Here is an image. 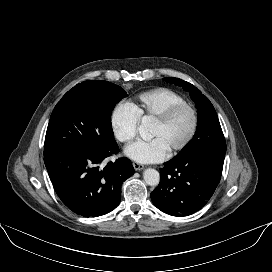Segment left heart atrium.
Here are the masks:
<instances>
[{
	"mask_svg": "<svg viewBox=\"0 0 272 272\" xmlns=\"http://www.w3.org/2000/svg\"><path fill=\"white\" fill-rule=\"evenodd\" d=\"M167 153L166 146L158 137L151 140H137L125 149V154L139 163L161 162L165 159Z\"/></svg>",
	"mask_w": 272,
	"mask_h": 272,
	"instance_id": "1",
	"label": "left heart atrium"
}]
</instances>
